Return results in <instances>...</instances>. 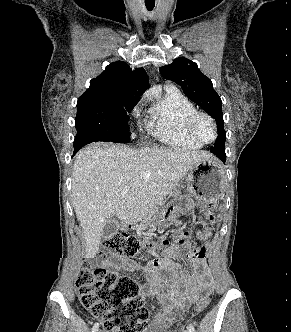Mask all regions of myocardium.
<instances>
[{
	"mask_svg": "<svg viewBox=\"0 0 291 332\" xmlns=\"http://www.w3.org/2000/svg\"><path fill=\"white\" fill-rule=\"evenodd\" d=\"M201 118H204L206 119L210 124L211 126L213 127V131H214V136L211 140L209 141H206V140H203L197 133L196 131V126H197V122L201 119ZM186 128H187V131L189 133V135L197 142H199L200 144L202 145H205V144H210L212 142H214L217 138V135H218V130H217V125H216V122L215 120L213 119V117L211 115H209L208 113L204 112V111H198L196 110L195 112H193L187 119V122H186Z\"/></svg>",
	"mask_w": 291,
	"mask_h": 332,
	"instance_id": "obj_1",
	"label": "myocardium"
}]
</instances>
